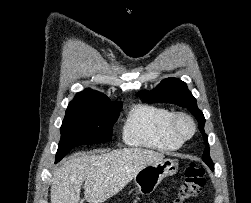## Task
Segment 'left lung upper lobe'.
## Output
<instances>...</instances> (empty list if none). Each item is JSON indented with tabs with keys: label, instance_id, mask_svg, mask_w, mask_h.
Masks as SVG:
<instances>
[{
	"label": "left lung upper lobe",
	"instance_id": "5c2ea615",
	"mask_svg": "<svg viewBox=\"0 0 251 203\" xmlns=\"http://www.w3.org/2000/svg\"><path fill=\"white\" fill-rule=\"evenodd\" d=\"M138 95L145 101L152 103L167 102L188 108L198 120L199 129L203 134L205 144L209 145L208 136L204 131V115L198 109L196 99L187 88L185 82L177 78L164 79L153 90L139 91ZM202 159L214 171V165L209 155V146L205 147Z\"/></svg>",
	"mask_w": 251,
	"mask_h": 203
}]
</instances>
